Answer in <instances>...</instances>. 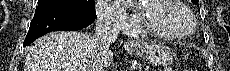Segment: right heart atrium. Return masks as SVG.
Wrapping results in <instances>:
<instances>
[{
    "label": "right heart atrium",
    "mask_w": 230,
    "mask_h": 71,
    "mask_svg": "<svg viewBox=\"0 0 230 71\" xmlns=\"http://www.w3.org/2000/svg\"><path fill=\"white\" fill-rule=\"evenodd\" d=\"M96 13L100 22L119 32L127 31L134 24V19L126 13L118 1H99Z\"/></svg>",
    "instance_id": "obj_1"
}]
</instances>
